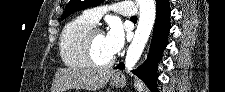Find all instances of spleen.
Masks as SVG:
<instances>
[{"instance_id":"1","label":"spleen","mask_w":225,"mask_h":92,"mask_svg":"<svg viewBox=\"0 0 225 92\" xmlns=\"http://www.w3.org/2000/svg\"><path fill=\"white\" fill-rule=\"evenodd\" d=\"M134 86L138 90V92H142L144 87H145L144 84L141 81H139V80H137L135 82Z\"/></svg>"}]
</instances>
